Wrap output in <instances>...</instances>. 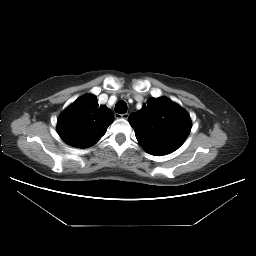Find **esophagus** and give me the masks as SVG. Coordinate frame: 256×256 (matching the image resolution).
<instances>
[{"label":"esophagus","instance_id":"1","mask_svg":"<svg viewBox=\"0 0 256 256\" xmlns=\"http://www.w3.org/2000/svg\"><path fill=\"white\" fill-rule=\"evenodd\" d=\"M128 116H129V114H127V113H124V114H115V117L117 118V119H127L128 118Z\"/></svg>","mask_w":256,"mask_h":256}]
</instances>
